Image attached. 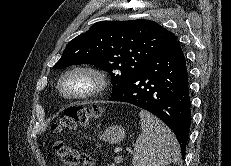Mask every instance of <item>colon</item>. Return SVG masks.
Segmentation results:
<instances>
[{
    "mask_svg": "<svg viewBox=\"0 0 231 166\" xmlns=\"http://www.w3.org/2000/svg\"><path fill=\"white\" fill-rule=\"evenodd\" d=\"M101 114L102 109L98 106L69 108L55 125V131L63 132L78 126H85L90 119L97 118ZM54 148L64 166H94L90 156L77 152L62 140H57L54 143Z\"/></svg>",
    "mask_w": 231,
    "mask_h": 166,
    "instance_id": "5ec220e1",
    "label": "colon"
}]
</instances>
